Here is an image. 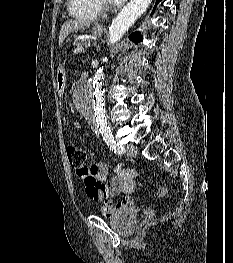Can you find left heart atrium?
<instances>
[{
  "label": "left heart atrium",
  "instance_id": "left-heart-atrium-1",
  "mask_svg": "<svg viewBox=\"0 0 233 263\" xmlns=\"http://www.w3.org/2000/svg\"><path fill=\"white\" fill-rule=\"evenodd\" d=\"M110 1L113 3L119 4V3L124 2L125 0H110Z\"/></svg>",
  "mask_w": 233,
  "mask_h": 263
}]
</instances>
